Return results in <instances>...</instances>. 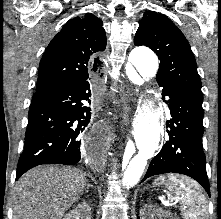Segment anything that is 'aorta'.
<instances>
[{
  "mask_svg": "<svg viewBox=\"0 0 221 219\" xmlns=\"http://www.w3.org/2000/svg\"><path fill=\"white\" fill-rule=\"evenodd\" d=\"M129 62L143 78L153 77L158 71V58L147 47L134 48L129 54ZM160 118V111L153 108L151 101L136 116L134 138L137 151L128 146L117 170L122 190H129L140 181L147 159L158 149L162 131Z\"/></svg>",
  "mask_w": 221,
  "mask_h": 219,
  "instance_id": "762f6f07",
  "label": "aorta"
}]
</instances>
